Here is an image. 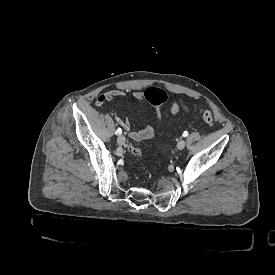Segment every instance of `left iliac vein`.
Returning <instances> with one entry per match:
<instances>
[{
    "mask_svg": "<svg viewBox=\"0 0 275 275\" xmlns=\"http://www.w3.org/2000/svg\"><path fill=\"white\" fill-rule=\"evenodd\" d=\"M185 146H186L185 140H180V141L177 143V148H178L179 150L184 149Z\"/></svg>",
    "mask_w": 275,
    "mask_h": 275,
    "instance_id": "left-iliac-vein-1",
    "label": "left iliac vein"
}]
</instances>
